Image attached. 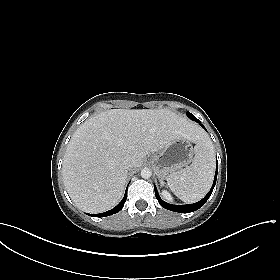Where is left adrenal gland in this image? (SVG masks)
<instances>
[{"instance_id":"a2214340","label":"left adrenal gland","mask_w":280,"mask_h":280,"mask_svg":"<svg viewBox=\"0 0 280 280\" xmlns=\"http://www.w3.org/2000/svg\"><path fill=\"white\" fill-rule=\"evenodd\" d=\"M160 184L161 186H164V181L162 179H160Z\"/></svg>"}]
</instances>
